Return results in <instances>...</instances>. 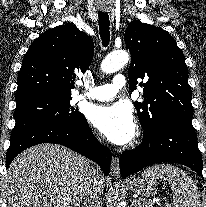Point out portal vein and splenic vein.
<instances>
[{
	"label": "portal vein and splenic vein",
	"instance_id": "18ae733b",
	"mask_svg": "<svg viewBox=\"0 0 206 207\" xmlns=\"http://www.w3.org/2000/svg\"><path fill=\"white\" fill-rule=\"evenodd\" d=\"M137 203H138L139 205H143V203H141V201H140V200H138V201H137Z\"/></svg>",
	"mask_w": 206,
	"mask_h": 207
}]
</instances>
